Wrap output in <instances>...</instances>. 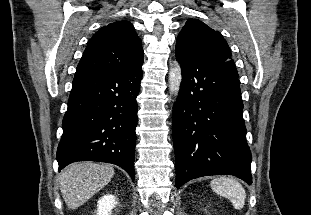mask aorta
<instances>
[{
	"instance_id": "1",
	"label": "aorta",
	"mask_w": 311,
	"mask_h": 215,
	"mask_svg": "<svg viewBox=\"0 0 311 215\" xmlns=\"http://www.w3.org/2000/svg\"><path fill=\"white\" fill-rule=\"evenodd\" d=\"M182 81L181 67L176 63L169 72V89L171 94L177 96Z\"/></svg>"
}]
</instances>
